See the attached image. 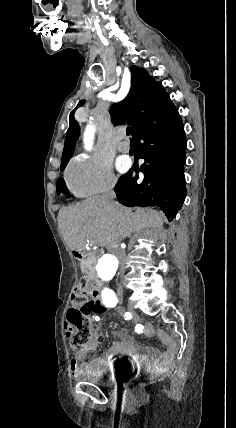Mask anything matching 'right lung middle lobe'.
<instances>
[{
    "instance_id": "1",
    "label": "right lung middle lobe",
    "mask_w": 236,
    "mask_h": 428,
    "mask_svg": "<svg viewBox=\"0 0 236 428\" xmlns=\"http://www.w3.org/2000/svg\"><path fill=\"white\" fill-rule=\"evenodd\" d=\"M63 170L64 169H61V171H63ZM56 187H57V193L58 194H60L62 192L63 194H66L67 197H69L68 190H67L65 182H64V180L62 178H60V179L57 180Z\"/></svg>"
}]
</instances>
